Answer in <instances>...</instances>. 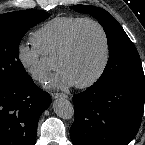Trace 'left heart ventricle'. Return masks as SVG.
Here are the masks:
<instances>
[{
  "label": "left heart ventricle",
  "mask_w": 145,
  "mask_h": 145,
  "mask_svg": "<svg viewBox=\"0 0 145 145\" xmlns=\"http://www.w3.org/2000/svg\"><path fill=\"white\" fill-rule=\"evenodd\" d=\"M104 42L99 29L83 24L77 31L73 49L55 62L57 70L64 71L74 82L83 83L92 78L104 59Z\"/></svg>",
  "instance_id": "left-heart-ventricle-1"
}]
</instances>
